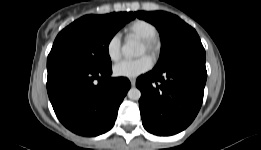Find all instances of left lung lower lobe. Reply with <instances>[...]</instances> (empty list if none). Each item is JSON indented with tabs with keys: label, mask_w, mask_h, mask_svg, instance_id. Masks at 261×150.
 I'll return each mask as SVG.
<instances>
[{
	"label": "left lung lower lobe",
	"mask_w": 261,
	"mask_h": 150,
	"mask_svg": "<svg viewBox=\"0 0 261 150\" xmlns=\"http://www.w3.org/2000/svg\"><path fill=\"white\" fill-rule=\"evenodd\" d=\"M201 42L179 49L164 64L137 78L144 128L155 135H174L196 117L207 79Z\"/></svg>",
	"instance_id": "obj_1"
}]
</instances>
